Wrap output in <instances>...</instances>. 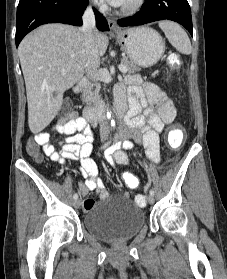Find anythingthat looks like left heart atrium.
Listing matches in <instances>:
<instances>
[{"label": "left heart atrium", "mask_w": 227, "mask_h": 279, "mask_svg": "<svg viewBox=\"0 0 227 279\" xmlns=\"http://www.w3.org/2000/svg\"><path fill=\"white\" fill-rule=\"evenodd\" d=\"M103 1H107L108 3L114 6H120L124 2V0H103Z\"/></svg>", "instance_id": "39dd6f15"}]
</instances>
